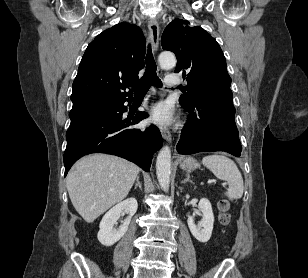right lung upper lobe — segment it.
I'll return each mask as SVG.
<instances>
[{
	"label": "right lung upper lobe",
	"instance_id": "cb5924a9",
	"mask_svg": "<svg viewBox=\"0 0 308 278\" xmlns=\"http://www.w3.org/2000/svg\"><path fill=\"white\" fill-rule=\"evenodd\" d=\"M145 38L141 29L119 23L100 33L87 47L73 82L70 117L132 99L123 92L138 81L144 68Z\"/></svg>",
	"mask_w": 308,
	"mask_h": 278
}]
</instances>
